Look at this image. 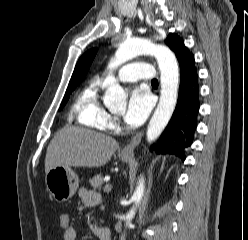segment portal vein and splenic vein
<instances>
[{
    "instance_id": "obj_1",
    "label": "portal vein and splenic vein",
    "mask_w": 248,
    "mask_h": 240,
    "mask_svg": "<svg viewBox=\"0 0 248 240\" xmlns=\"http://www.w3.org/2000/svg\"><path fill=\"white\" fill-rule=\"evenodd\" d=\"M111 189H112V185L111 184H106L105 187H104V191L107 192V193L110 192Z\"/></svg>"
}]
</instances>
